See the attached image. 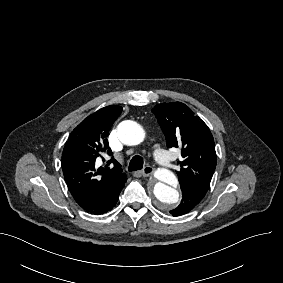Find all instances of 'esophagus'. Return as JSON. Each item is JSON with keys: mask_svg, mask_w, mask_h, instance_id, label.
Returning a JSON list of instances; mask_svg holds the SVG:
<instances>
[{"mask_svg": "<svg viewBox=\"0 0 283 283\" xmlns=\"http://www.w3.org/2000/svg\"><path fill=\"white\" fill-rule=\"evenodd\" d=\"M141 176L147 177L154 173V169L151 166L144 167L141 171L138 172Z\"/></svg>", "mask_w": 283, "mask_h": 283, "instance_id": "obj_1", "label": "esophagus"}]
</instances>
